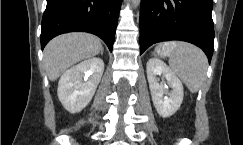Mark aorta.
<instances>
[{"mask_svg": "<svg viewBox=\"0 0 243 145\" xmlns=\"http://www.w3.org/2000/svg\"><path fill=\"white\" fill-rule=\"evenodd\" d=\"M140 4V0H132V5L134 8L138 7Z\"/></svg>", "mask_w": 243, "mask_h": 145, "instance_id": "aorta-1", "label": "aorta"}]
</instances>
